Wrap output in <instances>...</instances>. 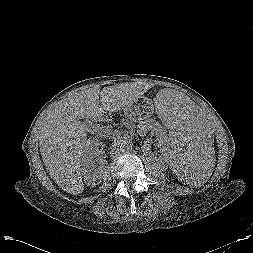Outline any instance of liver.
<instances>
[{
  "mask_svg": "<svg viewBox=\"0 0 253 253\" xmlns=\"http://www.w3.org/2000/svg\"><path fill=\"white\" fill-rule=\"evenodd\" d=\"M140 82L99 86L74 93L46 116L39 126V145L52 179L67 193L84 191L81 158L86 144V122L99 120L104 112H116L140 99L150 88ZM100 99V100H99ZM85 118L84 122L79 119Z\"/></svg>",
  "mask_w": 253,
  "mask_h": 253,
  "instance_id": "liver-1",
  "label": "liver"
}]
</instances>
